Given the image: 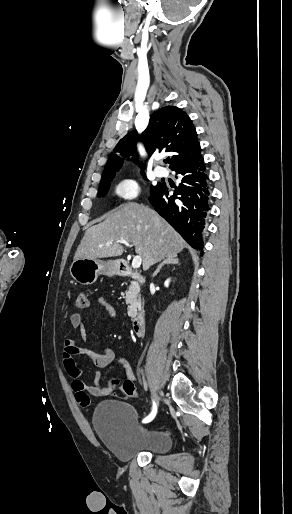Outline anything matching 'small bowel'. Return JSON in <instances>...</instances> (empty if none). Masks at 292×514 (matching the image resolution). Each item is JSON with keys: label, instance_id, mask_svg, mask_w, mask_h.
Masks as SVG:
<instances>
[{"label": "small bowel", "instance_id": "small-bowel-1", "mask_svg": "<svg viewBox=\"0 0 292 514\" xmlns=\"http://www.w3.org/2000/svg\"><path fill=\"white\" fill-rule=\"evenodd\" d=\"M95 302L105 310L109 319L117 318L116 308L106 298L100 296L96 298ZM69 321L74 330H81L82 338L86 340L82 316L79 313H73L70 315ZM62 349L64 369L71 378L72 390L75 392L76 399L82 407L88 408L91 397L100 398L109 395L111 398L115 397V400L119 402H128L130 400L128 395L118 396L117 392L111 391V387L104 385L101 376L97 373H91L94 385L85 384L81 378L82 372L77 367L75 357L83 356L97 367H107L116 359L115 353L110 348L105 347L103 353L98 354L78 346L74 339L68 338L63 342ZM117 363L122 370L124 382L133 384L136 377L129 361L124 357H119L117 358Z\"/></svg>", "mask_w": 292, "mask_h": 514}]
</instances>
